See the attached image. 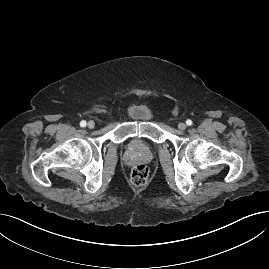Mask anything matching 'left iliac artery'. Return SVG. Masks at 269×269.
Returning <instances> with one entry per match:
<instances>
[{
  "label": "left iliac artery",
  "mask_w": 269,
  "mask_h": 269,
  "mask_svg": "<svg viewBox=\"0 0 269 269\" xmlns=\"http://www.w3.org/2000/svg\"><path fill=\"white\" fill-rule=\"evenodd\" d=\"M186 124H187L188 126H191V125H192V120L188 119V120L186 121Z\"/></svg>",
  "instance_id": "1"
}]
</instances>
